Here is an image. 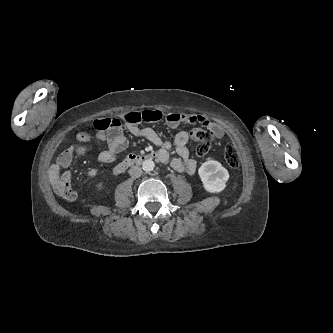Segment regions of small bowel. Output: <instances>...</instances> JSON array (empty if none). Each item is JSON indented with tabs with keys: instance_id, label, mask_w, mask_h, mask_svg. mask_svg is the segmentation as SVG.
I'll return each instance as SVG.
<instances>
[{
	"instance_id": "1",
	"label": "small bowel",
	"mask_w": 333,
	"mask_h": 333,
	"mask_svg": "<svg viewBox=\"0 0 333 333\" xmlns=\"http://www.w3.org/2000/svg\"><path fill=\"white\" fill-rule=\"evenodd\" d=\"M161 111L156 109L144 111H131L125 114L123 127L133 136L142 137L159 147L157 151L159 160L169 163L170 166L178 171L192 175L197 170V163L190 157L188 149L189 134L187 131L179 132L172 142L163 140L153 129L149 127H140L142 122H155L162 118ZM165 121L170 127H177L181 124H200L206 127L215 138H222L223 128L211 121L204 115H194L187 113L170 112L165 114ZM93 137L85 131L77 134V140L80 142H90ZM94 139L107 143V149L99 154V161L110 164L115 162L121 153L126 149L128 141L125 137L122 126L116 131H98ZM174 148L178 157L170 158L169 151ZM73 146L64 150L57 160L50 166L48 172L49 181L55 193L68 200L75 201L77 192L71 189V170ZM97 173L95 168L88 170V175L93 177Z\"/></svg>"
}]
</instances>
